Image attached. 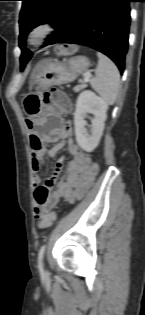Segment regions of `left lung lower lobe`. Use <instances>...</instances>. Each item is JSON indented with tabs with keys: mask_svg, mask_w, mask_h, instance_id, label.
I'll list each match as a JSON object with an SVG mask.
<instances>
[{
	"mask_svg": "<svg viewBox=\"0 0 145 315\" xmlns=\"http://www.w3.org/2000/svg\"><path fill=\"white\" fill-rule=\"evenodd\" d=\"M134 0H75L63 26L45 45L80 44L111 58L122 73L128 50L130 6ZM26 38L19 41L22 55ZM44 45V46H45Z\"/></svg>",
	"mask_w": 145,
	"mask_h": 315,
	"instance_id": "left-lung-lower-lobe-1",
	"label": "left lung lower lobe"
}]
</instances>
